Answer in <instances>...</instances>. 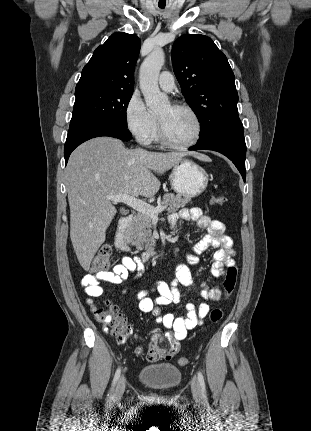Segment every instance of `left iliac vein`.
Here are the masks:
<instances>
[{"mask_svg": "<svg viewBox=\"0 0 311 431\" xmlns=\"http://www.w3.org/2000/svg\"><path fill=\"white\" fill-rule=\"evenodd\" d=\"M191 389H192V393L195 399H200L201 398V388H200V383L199 380L196 376L193 377L192 381H191Z\"/></svg>", "mask_w": 311, "mask_h": 431, "instance_id": "left-iliac-vein-1", "label": "left iliac vein"}]
</instances>
